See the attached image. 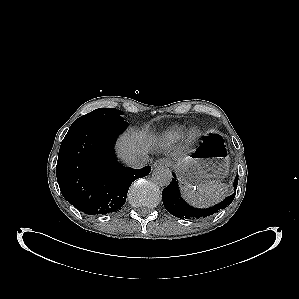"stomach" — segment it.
<instances>
[{"instance_id": "0dacf381", "label": "stomach", "mask_w": 299, "mask_h": 299, "mask_svg": "<svg viewBox=\"0 0 299 299\" xmlns=\"http://www.w3.org/2000/svg\"><path fill=\"white\" fill-rule=\"evenodd\" d=\"M229 165L230 159L223 138L218 134H211L175 167L182 184L200 186L208 181L224 178Z\"/></svg>"}]
</instances>
